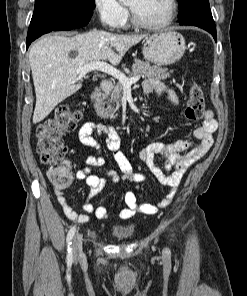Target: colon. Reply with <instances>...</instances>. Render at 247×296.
Returning a JSON list of instances; mask_svg holds the SVG:
<instances>
[{"label":"colon","instance_id":"obj_1","mask_svg":"<svg viewBox=\"0 0 247 296\" xmlns=\"http://www.w3.org/2000/svg\"><path fill=\"white\" fill-rule=\"evenodd\" d=\"M204 109L203 90L193 82L189 89L185 117L190 121L198 120L202 117ZM81 116V112L72 105H63L36 129L37 153L42 163L48 166L47 176L57 189L66 188L73 181L71 166L65 160L68 148L63 141V135L76 127Z\"/></svg>","mask_w":247,"mask_h":296}]
</instances>
